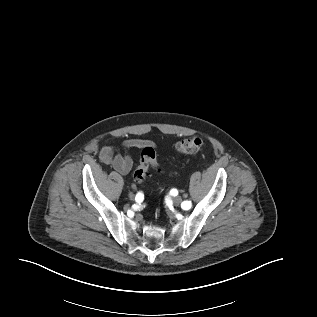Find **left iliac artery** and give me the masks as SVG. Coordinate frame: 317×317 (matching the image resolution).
Returning <instances> with one entry per match:
<instances>
[{"mask_svg":"<svg viewBox=\"0 0 317 317\" xmlns=\"http://www.w3.org/2000/svg\"><path fill=\"white\" fill-rule=\"evenodd\" d=\"M191 205H192V204H191V201H187V200H186V201L183 202L182 208H183V209H189V208H191Z\"/></svg>","mask_w":317,"mask_h":317,"instance_id":"obj_1","label":"left iliac artery"}]
</instances>
